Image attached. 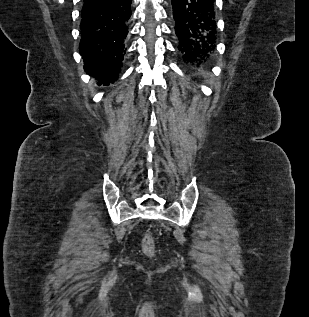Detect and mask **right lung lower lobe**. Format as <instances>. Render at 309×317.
Returning <instances> with one entry per match:
<instances>
[{
  "label": "right lung lower lobe",
  "mask_w": 309,
  "mask_h": 317,
  "mask_svg": "<svg viewBox=\"0 0 309 317\" xmlns=\"http://www.w3.org/2000/svg\"><path fill=\"white\" fill-rule=\"evenodd\" d=\"M132 0H84L80 54L99 84L117 79L124 55Z\"/></svg>",
  "instance_id": "right-lung-lower-lobe-1"
}]
</instances>
